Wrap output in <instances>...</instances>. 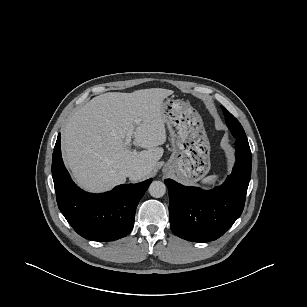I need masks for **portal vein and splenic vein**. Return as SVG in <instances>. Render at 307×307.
I'll list each match as a JSON object with an SVG mask.
<instances>
[{
    "instance_id": "18ae733b",
    "label": "portal vein and splenic vein",
    "mask_w": 307,
    "mask_h": 307,
    "mask_svg": "<svg viewBox=\"0 0 307 307\" xmlns=\"http://www.w3.org/2000/svg\"><path fill=\"white\" fill-rule=\"evenodd\" d=\"M137 122H138V121H137ZM131 138H132V132H129V133L127 134L126 139H125V144H126V145H129V144H130Z\"/></svg>"
}]
</instances>
